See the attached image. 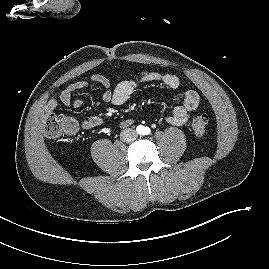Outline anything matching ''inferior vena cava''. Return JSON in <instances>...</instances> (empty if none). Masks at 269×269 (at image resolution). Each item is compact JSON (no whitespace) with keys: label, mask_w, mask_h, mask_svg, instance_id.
Segmentation results:
<instances>
[{"label":"inferior vena cava","mask_w":269,"mask_h":269,"mask_svg":"<svg viewBox=\"0 0 269 269\" xmlns=\"http://www.w3.org/2000/svg\"><path fill=\"white\" fill-rule=\"evenodd\" d=\"M120 137L123 141L131 142L136 139L137 133L135 130L127 128L121 132Z\"/></svg>","instance_id":"obj_1"}]
</instances>
